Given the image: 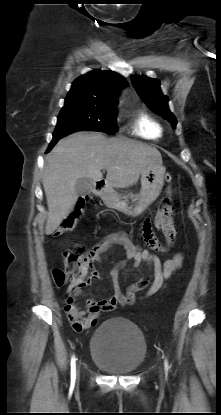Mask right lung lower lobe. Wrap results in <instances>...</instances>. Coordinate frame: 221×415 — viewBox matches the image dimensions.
Here are the masks:
<instances>
[{"label":"right lung lower lobe","instance_id":"1","mask_svg":"<svg viewBox=\"0 0 221 415\" xmlns=\"http://www.w3.org/2000/svg\"><path fill=\"white\" fill-rule=\"evenodd\" d=\"M61 138H53L52 142L49 145V148L47 151L51 150V148L58 142V140Z\"/></svg>","mask_w":221,"mask_h":415}]
</instances>
